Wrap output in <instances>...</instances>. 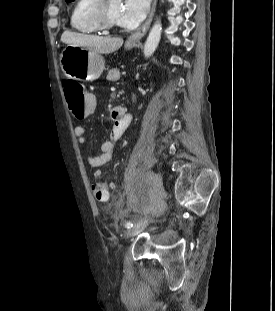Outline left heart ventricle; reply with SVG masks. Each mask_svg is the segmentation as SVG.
I'll return each instance as SVG.
<instances>
[{"mask_svg":"<svg viewBox=\"0 0 275 311\" xmlns=\"http://www.w3.org/2000/svg\"><path fill=\"white\" fill-rule=\"evenodd\" d=\"M122 3L120 0H109L108 2V14L112 21L118 23V15L120 13Z\"/></svg>","mask_w":275,"mask_h":311,"instance_id":"1","label":"left heart ventricle"}]
</instances>
